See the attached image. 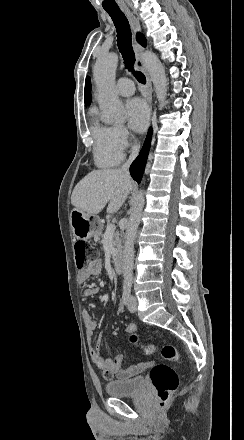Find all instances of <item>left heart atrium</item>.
<instances>
[{"label": "left heart atrium", "mask_w": 244, "mask_h": 440, "mask_svg": "<svg viewBox=\"0 0 244 440\" xmlns=\"http://www.w3.org/2000/svg\"><path fill=\"white\" fill-rule=\"evenodd\" d=\"M129 125L132 129L142 132L149 122V109L146 103L139 98L131 99L127 103Z\"/></svg>", "instance_id": "39dd6f15"}]
</instances>
